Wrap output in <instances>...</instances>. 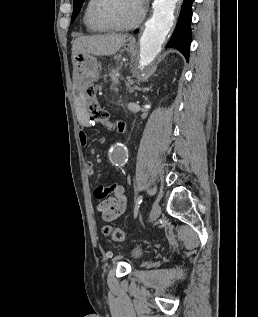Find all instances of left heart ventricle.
Listing matches in <instances>:
<instances>
[{
    "instance_id": "1",
    "label": "left heart ventricle",
    "mask_w": 258,
    "mask_h": 317,
    "mask_svg": "<svg viewBox=\"0 0 258 317\" xmlns=\"http://www.w3.org/2000/svg\"><path fill=\"white\" fill-rule=\"evenodd\" d=\"M101 16L118 27H131L137 20L138 9L129 1L113 2L101 9Z\"/></svg>"
}]
</instances>
